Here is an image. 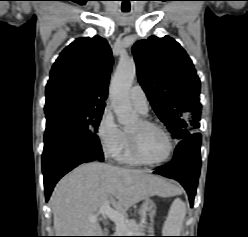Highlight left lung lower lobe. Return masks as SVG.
Segmentation results:
<instances>
[{"label": "left lung lower lobe", "mask_w": 248, "mask_h": 237, "mask_svg": "<svg viewBox=\"0 0 248 237\" xmlns=\"http://www.w3.org/2000/svg\"><path fill=\"white\" fill-rule=\"evenodd\" d=\"M200 145L201 135L199 133L181 140L176 147L173 160L163 168L154 171L156 174L179 181L188 193L191 206H193L200 174Z\"/></svg>", "instance_id": "0a47b994"}]
</instances>
